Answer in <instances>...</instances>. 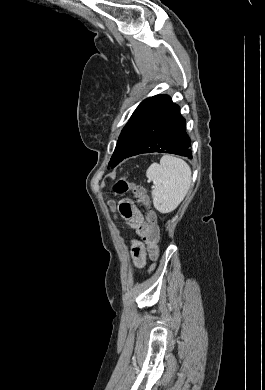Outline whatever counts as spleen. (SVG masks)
Segmentation results:
<instances>
[{"instance_id":"3e777b00","label":"spleen","mask_w":265,"mask_h":390,"mask_svg":"<svg viewBox=\"0 0 265 390\" xmlns=\"http://www.w3.org/2000/svg\"><path fill=\"white\" fill-rule=\"evenodd\" d=\"M153 181L152 198L156 210L166 214L175 210L186 196L191 184V168L180 158L164 155L160 164L152 163L146 171Z\"/></svg>"}]
</instances>
